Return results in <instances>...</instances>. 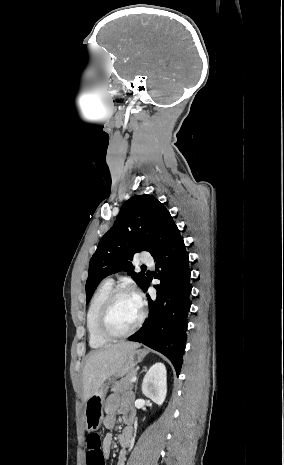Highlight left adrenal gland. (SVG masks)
I'll use <instances>...</instances> for the list:
<instances>
[{
    "mask_svg": "<svg viewBox=\"0 0 284 465\" xmlns=\"http://www.w3.org/2000/svg\"><path fill=\"white\" fill-rule=\"evenodd\" d=\"M144 371H147L146 367H143ZM143 373V371H142ZM137 385H138V381H136L135 383V393H137Z\"/></svg>",
    "mask_w": 284,
    "mask_h": 465,
    "instance_id": "1",
    "label": "left adrenal gland"
}]
</instances>
